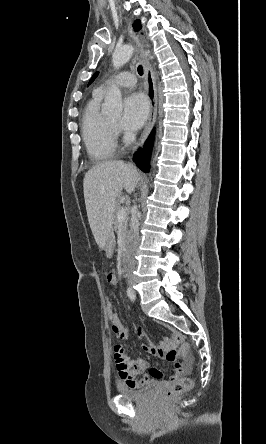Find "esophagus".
Here are the masks:
<instances>
[{"mask_svg":"<svg viewBox=\"0 0 266 444\" xmlns=\"http://www.w3.org/2000/svg\"><path fill=\"white\" fill-rule=\"evenodd\" d=\"M129 32H130L132 39L135 41L136 45L140 49H142L143 46L140 42L138 35H136L132 31L131 28H129ZM143 61H144V66H145L147 95H148L149 102H150V112H149L148 121H147L146 126L143 130V133L140 137V141L138 143V146H142L143 143L145 142L146 138L148 137V135L150 134V132L154 126L156 116H157V89H156V83H155L153 70H152V67H151L149 61L144 56H143Z\"/></svg>","mask_w":266,"mask_h":444,"instance_id":"esophagus-1","label":"esophagus"}]
</instances>
